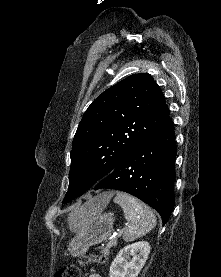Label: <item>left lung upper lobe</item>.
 Instances as JSON below:
<instances>
[{"label": "left lung upper lobe", "instance_id": "1", "mask_svg": "<svg viewBox=\"0 0 221 277\" xmlns=\"http://www.w3.org/2000/svg\"><path fill=\"white\" fill-rule=\"evenodd\" d=\"M168 117L164 95L150 74L131 75L103 92L86 110L74 136L63 203L109 175Z\"/></svg>", "mask_w": 221, "mask_h": 277}]
</instances>
